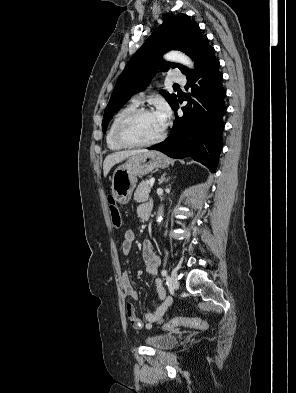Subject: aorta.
I'll use <instances>...</instances> for the list:
<instances>
[{
  "instance_id": "aorta-1",
  "label": "aorta",
  "mask_w": 296,
  "mask_h": 393,
  "mask_svg": "<svg viewBox=\"0 0 296 393\" xmlns=\"http://www.w3.org/2000/svg\"><path fill=\"white\" fill-rule=\"evenodd\" d=\"M164 58L167 61H175V62H179L189 68H193L194 64L192 62V60L185 54L177 52V51H172L167 53ZM162 215H163V208L160 207L159 211H158V216H157V222L161 223L162 221Z\"/></svg>"
}]
</instances>
